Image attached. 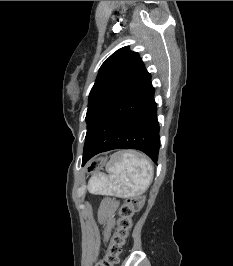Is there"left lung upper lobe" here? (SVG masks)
<instances>
[{"mask_svg":"<svg viewBox=\"0 0 233 266\" xmlns=\"http://www.w3.org/2000/svg\"><path fill=\"white\" fill-rule=\"evenodd\" d=\"M145 68L139 54L123 47L101 66L89 94L86 115V141L110 104L137 78Z\"/></svg>","mask_w":233,"mask_h":266,"instance_id":"left-lung-upper-lobe-1","label":"left lung upper lobe"}]
</instances>
